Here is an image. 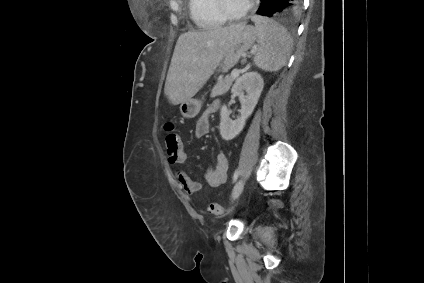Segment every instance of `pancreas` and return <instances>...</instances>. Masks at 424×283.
<instances>
[{
    "label": "pancreas",
    "mask_w": 424,
    "mask_h": 283,
    "mask_svg": "<svg viewBox=\"0 0 424 283\" xmlns=\"http://www.w3.org/2000/svg\"><path fill=\"white\" fill-rule=\"evenodd\" d=\"M235 80L232 76H226L224 79H218L216 85L213 87L211 97L221 96L225 94Z\"/></svg>",
    "instance_id": "obj_1"
}]
</instances>
